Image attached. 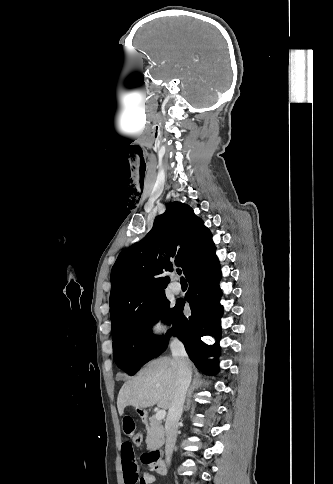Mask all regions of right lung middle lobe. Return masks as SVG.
<instances>
[{
  "label": "right lung middle lobe",
  "mask_w": 333,
  "mask_h": 484,
  "mask_svg": "<svg viewBox=\"0 0 333 484\" xmlns=\"http://www.w3.org/2000/svg\"><path fill=\"white\" fill-rule=\"evenodd\" d=\"M177 311L178 304L170 308L164 295L125 318L112 333L113 357L117 366L133 375L153 359L164 338L153 336L151 327L159 319L173 322Z\"/></svg>",
  "instance_id": "dd1d6c3e"
}]
</instances>
